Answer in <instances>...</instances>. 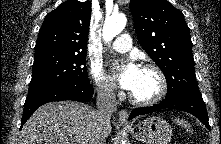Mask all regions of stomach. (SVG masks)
<instances>
[{
	"instance_id": "0dacf381",
	"label": "stomach",
	"mask_w": 221,
	"mask_h": 144,
	"mask_svg": "<svg viewBox=\"0 0 221 144\" xmlns=\"http://www.w3.org/2000/svg\"><path fill=\"white\" fill-rule=\"evenodd\" d=\"M131 135L144 144H168L171 140L172 129L167 121L151 116L137 124L127 125Z\"/></svg>"
}]
</instances>
